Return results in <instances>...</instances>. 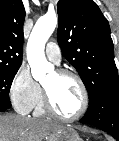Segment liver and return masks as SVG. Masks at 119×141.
I'll return each mask as SVG.
<instances>
[{"mask_svg":"<svg viewBox=\"0 0 119 141\" xmlns=\"http://www.w3.org/2000/svg\"><path fill=\"white\" fill-rule=\"evenodd\" d=\"M62 126L44 119L0 115V141H42Z\"/></svg>","mask_w":119,"mask_h":141,"instance_id":"1","label":"liver"}]
</instances>
